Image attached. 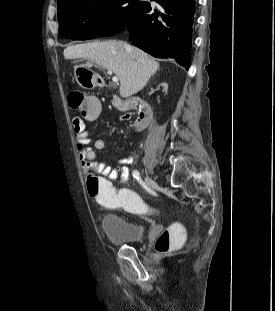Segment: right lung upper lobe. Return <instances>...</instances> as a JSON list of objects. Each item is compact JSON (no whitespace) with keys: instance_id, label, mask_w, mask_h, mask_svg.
<instances>
[{"instance_id":"right-lung-upper-lobe-1","label":"right lung upper lobe","mask_w":275,"mask_h":311,"mask_svg":"<svg viewBox=\"0 0 275 311\" xmlns=\"http://www.w3.org/2000/svg\"><path fill=\"white\" fill-rule=\"evenodd\" d=\"M67 1H70V0H57V5H60V4L67 2Z\"/></svg>"}]
</instances>
